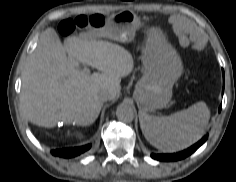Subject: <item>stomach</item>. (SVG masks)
Listing matches in <instances>:
<instances>
[{"mask_svg": "<svg viewBox=\"0 0 236 182\" xmlns=\"http://www.w3.org/2000/svg\"><path fill=\"white\" fill-rule=\"evenodd\" d=\"M105 27L98 30L100 35L128 42L143 23L130 11L116 16L104 17ZM143 76L137 82L134 98L138 106L146 111L165 107L172 97V87L183 72L181 58L159 29H149L148 39L142 54Z\"/></svg>", "mask_w": 236, "mask_h": 182, "instance_id": "0dacf381", "label": "stomach"}]
</instances>
